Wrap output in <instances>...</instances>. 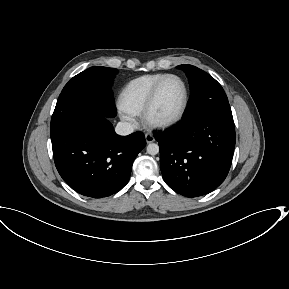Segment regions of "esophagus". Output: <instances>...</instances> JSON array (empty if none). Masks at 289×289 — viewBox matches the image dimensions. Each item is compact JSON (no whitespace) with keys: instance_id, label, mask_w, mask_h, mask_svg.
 I'll return each mask as SVG.
<instances>
[{"instance_id":"1","label":"esophagus","mask_w":289,"mask_h":289,"mask_svg":"<svg viewBox=\"0 0 289 289\" xmlns=\"http://www.w3.org/2000/svg\"><path fill=\"white\" fill-rule=\"evenodd\" d=\"M145 140H146L147 143H152L155 139H154L152 134L146 133L145 134Z\"/></svg>"}]
</instances>
